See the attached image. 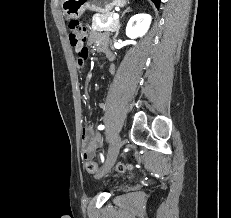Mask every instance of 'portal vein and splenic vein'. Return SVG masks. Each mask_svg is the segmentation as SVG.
Returning a JSON list of instances; mask_svg holds the SVG:
<instances>
[{
	"instance_id": "18ae733b",
	"label": "portal vein and splenic vein",
	"mask_w": 231,
	"mask_h": 218,
	"mask_svg": "<svg viewBox=\"0 0 231 218\" xmlns=\"http://www.w3.org/2000/svg\"><path fill=\"white\" fill-rule=\"evenodd\" d=\"M118 18H119V15H118V14H115L113 18H109L108 20H109V22H112L113 19H114V20H117Z\"/></svg>"
}]
</instances>
